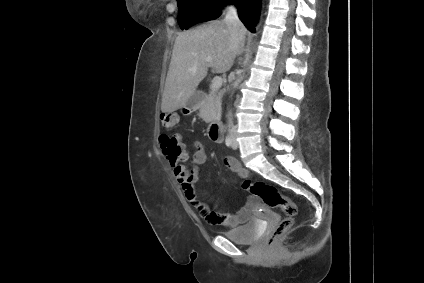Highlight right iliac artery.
<instances>
[{"label":"right iliac artery","mask_w":424,"mask_h":283,"mask_svg":"<svg viewBox=\"0 0 424 283\" xmlns=\"http://www.w3.org/2000/svg\"><path fill=\"white\" fill-rule=\"evenodd\" d=\"M225 144L228 147H230L232 145V139H231V137L229 135L226 136Z\"/></svg>","instance_id":"obj_1"}]
</instances>
